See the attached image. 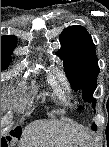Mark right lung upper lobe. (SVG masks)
Instances as JSON below:
<instances>
[{"instance_id": "cb5924a9", "label": "right lung upper lobe", "mask_w": 109, "mask_h": 147, "mask_svg": "<svg viewBox=\"0 0 109 147\" xmlns=\"http://www.w3.org/2000/svg\"><path fill=\"white\" fill-rule=\"evenodd\" d=\"M17 45L15 36L1 37V67L6 69L11 62V53Z\"/></svg>"}]
</instances>
